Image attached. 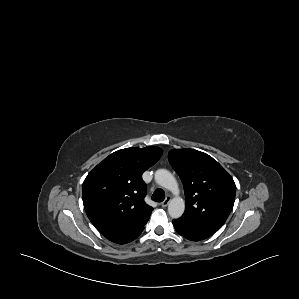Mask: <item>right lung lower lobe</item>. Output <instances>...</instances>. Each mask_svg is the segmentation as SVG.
I'll use <instances>...</instances> for the list:
<instances>
[{"mask_svg":"<svg viewBox=\"0 0 299 299\" xmlns=\"http://www.w3.org/2000/svg\"><path fill=\"white\" fill-rule=\"evenodd\" d=\"M142 231H143V228H141L140 230H138L136 232L130 233V234L119 235V236L111 237L108 239L117 244H125V243L131 242L134 239H136L141 234Z\"/></svg>","mask_w":299,"mask_h":299,"instance_id":"obj_1","label":"right lung lower lobe"}]
</instances>
